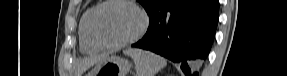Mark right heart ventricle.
<instances>
[{
  "label": "right heart ventricle",
  "instance_id": "obj_1",
  "mask_svg": "<svg viewBox=\"0 0 287 76\" xmlns=\"http://www.w3.org/2000/svg\"><path fill=\"white\" fill-rule=\"evenodd\" d=\"M97 5L88 8L82 15L79 25L80 50L86 54L97 53L101 50L91 39L88 32V20L91 12Z\"/></svg>",
  "mask_w": 287,
  "mask_h": 76
}]
</instances>
